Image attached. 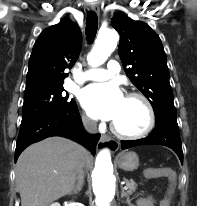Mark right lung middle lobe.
<instances>
[{"label":"right lung middle lobe","instance_id":"dd1d6c3e","mask_svg":"<svg viewBox=\"0 0 197 206\" xmlns=\"http://www.w3.org/2000/svg\"><path fill=\"white\" fill-rule=\"evenodd\" d=\"M63 91V85H44L25 89L22 121L75 106V101L63 95Z\"/></svg>","mask_w":197,"mask_h":206}]
</instances>
